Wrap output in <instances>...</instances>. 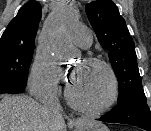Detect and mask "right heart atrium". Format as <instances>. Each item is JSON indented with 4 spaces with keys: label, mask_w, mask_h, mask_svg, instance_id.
<instances>
[{
    "label": "right heart atrium",
    "mask_w": 151,
    "mask_h": 131,
    "mask_svg": "<svg viewBox=\"0 0 151 131\" xmlns=\"http://www.w3.org/2000/svg\"><path fill=\"white\" fill-rule=\"evenodd\" d=\"M55 71L51 59L37 53L30 68L28 87L31 94L37 98H44L55 93Z\"/></svg>",
    "instance_id": "right-heart-atrium-1"
}]
</instances>
